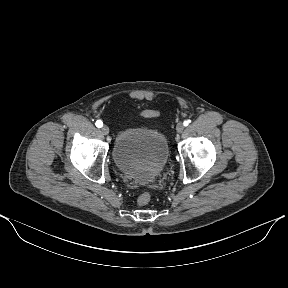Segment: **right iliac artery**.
<instances>
[{
    "label": "right iliac artery",
    "mask_w": 288,
    "mask_h": 288,
    "mask_svg": "<svg viewBox=\"0 0 288 288\" xmlns=\"http://www.w3.org/2000/svg\"><path fill=\"white\" fill-rule=\"evenodd\" d=\"M95 125L96 127L101 128L103 126V122L101 120H97Z\"/></svg>",
    "instance_id": "82829eb1"
}]
</instances>
